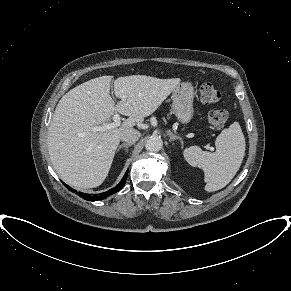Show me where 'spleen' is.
Returning a JSON list of instances; mask_svg holds the SVG:
<instances>
[{
  "label": "spleen",
  "mask_w": 291,
  "mask_h": 291,
  "mask_svg": "<svg viewBox=\"0 0 291 291\" xmlns=\"http://www.w3.org/2000/svg\"><path fill=\"white\" fill-rule=\"evenodd\" d=\"M216 151H202L198 146L186 148L185 160L204 171L205 190L214 192L224 188L238 172L245 154V138L238 122L224 129L215 140Z\"/></svg>",
  "instance_id": "spleen-1"
}]
</instances>
